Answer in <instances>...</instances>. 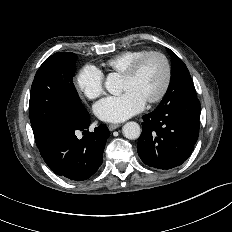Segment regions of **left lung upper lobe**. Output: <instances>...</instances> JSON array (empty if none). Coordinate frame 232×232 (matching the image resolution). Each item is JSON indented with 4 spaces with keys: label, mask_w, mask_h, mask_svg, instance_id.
<instances>
[{
    "label": "left lung upper lobe",
    "mask_w": 232,
    "mask_h": 232,
    "mask_svg": "<svg viewBox=\"0 0 232 232\" xmlns=\"http://www.w3.org/2000/svg\"><path fill=\"white\" fill-rule=\"evenodd\" d=\"M171 56V81L168 90L159 105L167 104L181 97L197 98L196 90L191 76L183 61L170 49Z\"/></svg>",
    "instance_id": "1"
}]
</instances>
